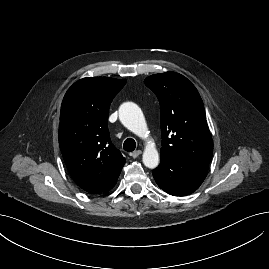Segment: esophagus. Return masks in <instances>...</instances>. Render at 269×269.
Wrapping results in <instances>:
<instances>
[{
    "mask_svg": "<svg viewBox=\"0 0 269 269\" xmlns=\"http://www.w3.org/2000/svg\"><path fill=\"white\" fill-rule=\"evenodd\" d=\"M142 154V151L141 150H136V151H133L130 155L133 157V158H137L139 155Z\"/></svg>",
    "mask_w": 269,
    "mask_h": 269,
    "instance_id": "34e87169",
    "label": "esophagus"
}]
</instances>
